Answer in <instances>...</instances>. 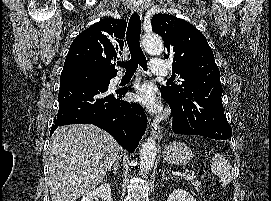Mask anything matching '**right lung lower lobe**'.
<instances>
[{
	"label": "right lung lower lobe",
	"instance_id": "98d812e1",
	"mask_svg": "<svg viewBox=\"0 0 271 201\" xmlns=\"http://www.w3.org/2000/svg\"><path fill=\"white\" fill-rule=\"evenodd\" d=\"M99 73L81 65L63 68L59 90V111L50 135L58 126L94 124L111 134L128 152H133L146 130L142 107L120 98L128 88L110 91L109 81L95 78Z\"/></svg>",
	"mask_w": 271,
	"mask_h": 201
}]
</instances>
